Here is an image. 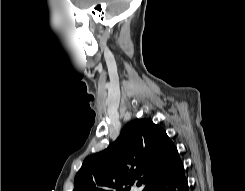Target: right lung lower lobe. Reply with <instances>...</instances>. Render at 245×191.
Returning a JSON list of instances; mask_svg holds the SVG:
<instances>
[{"mask_svg":"<svg viewBox=\"0 0 245 191\" xmlns=\"http://www.w3.org/2000/svg\"><path fill=\"white\" fill-rule=\"evenodd\" d=\"M151 191H188V182L184 167L180 166L174 173L157 182Z\"/></svg>","mask_w":245,"mask_h":191,"instance_id":"right-lung-lower-lobe-1","label":"right lung lower lobe"}]
</instances>
